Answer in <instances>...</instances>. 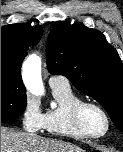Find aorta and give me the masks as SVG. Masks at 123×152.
<instances>
[{"mask_svg":"<svg viewBox=\"0 0 123 152\" xmlns=\"http://www.w3.org/2000/svg\"><path fill=\"white\" fill-rule=\"evenodd\" d=\"M23 78L27 89L36 96L43 94L41 80V58L36 54L30 55L23 64Z\"/></svg>","mask_w":123,"mask_h":152,"instance_id":"762f6f07","label":"aorta"}]
</instances>
